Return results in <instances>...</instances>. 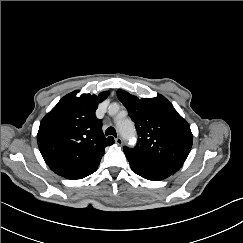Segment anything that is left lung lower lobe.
I'll list each match as a JSON object with an SVG mask.
<instances>
[{
	"mask_svg": "<svg viewBox=\"0 0 243 243\" xmlns=\"http://www.w3.org/2000/svg\"><path fill=\"white\" fill-rule=\"evenodd\" d=\"M133 172L148 180H163L177 172L182 165L174 162L141 157L124 151Z\"/></svg>",
	"mask_w": 243,
	"mask_h": 243,
	"instance_id": "0a47b994",
	"label": "left lung lower lobe"
}]
</instances>
